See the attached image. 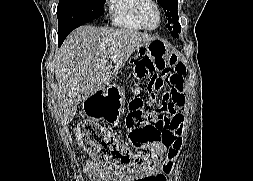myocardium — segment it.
<instances>
[{"mask_svg":"<svg viewBox=\"0 0 253 181\" xmlns=\"http://www.w3.org/2000/svg\"><path fill=\"white\" fill-rule=\"evenodd\" d=\"M148 5L153 6L155 8L156 12H157L158 23L154 27L148 26L145 22V19H144V10ZM136 17H137V20H138L139 24L145 30L155 31L160 27V25L162 23V10H161V7H160L159 3L156 0H139V3L136 7Z\"/></svg>","mask_w":253,"mask_h":181,"instance_id":"myocardium-1","label":"myocardium"}]
</instances>
